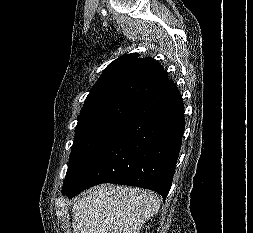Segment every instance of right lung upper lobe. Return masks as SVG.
<instances>
[{"instance_id": "right-lung-upper-lobe-1", "label": "right lung upper lobe", "mask_w": 253, "mask_h": 233, "mask_svg": "<svg viewBox=\"0 0 253 233\" xmlns=\"http://www.w3.org/2000/svg\"><path fill=\"white\" fill-rule=\"evenodd\" d=\"M126 54L108 65L88 94L84 106L110 99L137 101L169 78L154 59Z\"/></svg>"}]
</instances>
